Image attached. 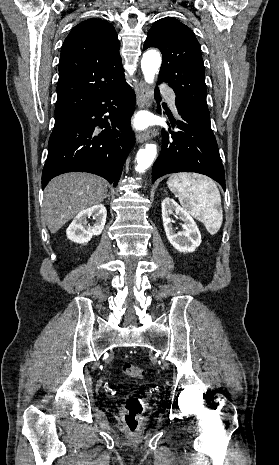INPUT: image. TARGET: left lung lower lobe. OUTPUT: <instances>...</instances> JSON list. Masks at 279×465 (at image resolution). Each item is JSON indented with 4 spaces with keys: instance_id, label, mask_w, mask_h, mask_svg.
I'll return each instance as SVG.
<instances>
[{
    "instance_id": "left-lung-lower-lobe-1",
    "label": "left lung lower lobe",
    "mask_w": 279,
    "mask_h": 465,
    "mask_svg": "<svg viewBox=\"0 0 279 465\" xmlns=\"http://www.w3.org/2000/svg\"><path fill=\"white\" fill-rule=\"evenodd\" d=\"M178 113L180 131L162 130V149L152 168V182L169 173L196 172L213 178L225 190L224 168L210 123L188 111L178 109Z\"/></svg>"
}]
</instances>
